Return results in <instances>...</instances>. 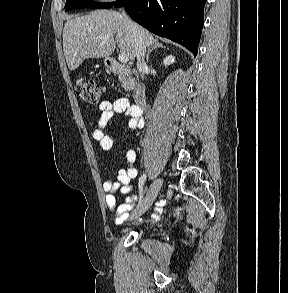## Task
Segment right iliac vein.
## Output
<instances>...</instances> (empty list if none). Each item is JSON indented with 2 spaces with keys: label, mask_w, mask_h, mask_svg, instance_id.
<instances>
[{
  "label": "right iliac vein",
  "mask_w": 288,
  "mask_h": 293,
  "mask_svg": "<svg viewBox=\"0 0 288 293\" xmlns=\"http://www.w3.org/2000/svg\"><path fill=\"white\" fill-rule=\"evenodd\" d=\"M163 180L162 179H156L150 186V189L140 204V206L133 212L131 219L137 218L138 216L143 215L149 207L152 205L153 201L157 197L161 186H162Z\"/></svg>",
  "instance_id": "63e3f726"
}]
</instances>
